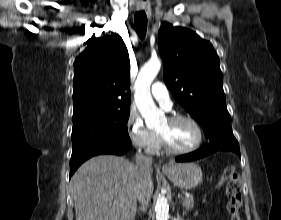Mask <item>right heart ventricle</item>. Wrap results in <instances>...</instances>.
<instances>
[{
  "label": "right heart ventricle",
  "mask_w": 281,
  "mask_h": 220,
  "mask_svg": "<svg viewBox=\"0 0 281 220\" xmlns=\"http://www.w3.org/2000/svg\"><path fill=\"white\" fill-rule=\"evenodd\" d=\"M158 149H159V143H158V140H157L153 150H158Z\"/></svg>",
  "instance_id": "e07e8e85"
}]
</instances>
